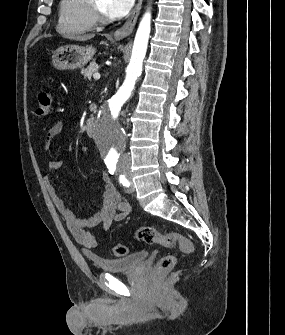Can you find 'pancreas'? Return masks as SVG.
Returning a JSON list of instances; mask_svg holds the SVG:
<instances>
[{
    "label": "pancreas",
    "mask_w": 285,
    "mask_h": 335,
    "mask_svg": "<svg viewBox=\"0 0 285 335\" xmlns=\"http://www.w3.org/2000/svg\"><path fill=\"white\" fill-rule=\"evenodd\" d=\"M92 72L93 74H96V72H98V66L97 64H94V62H92L91 66H87V68H83V70H81L80 76L82 78H91ZM87 82H90V79H87Z\"/></svg>",
    "instance_id": "1"
}]
</instances>
